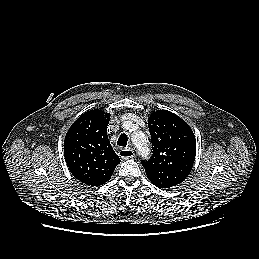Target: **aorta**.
<instances>
[{
    "label": "aorta",
    "mask_w": 259,
    "mask_h": 259,
    "mask_svg": "<svg viewBox=\"0 0 259 259\" xmlns=\"http://www.w3.org/2000/svg\"><path fill=\"white\" fill-rule=\"evenodd\" d=\"M132 142L142 157H147L150 154L148 139L143 132H135L132 135Z\"/></svg>",
    "instance_id": "aorta-1"
}]
</instances>
